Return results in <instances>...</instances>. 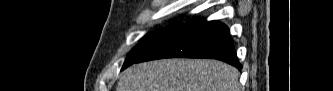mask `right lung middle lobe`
<instances>
[{"mask_svg":"<svg viewBox=\"0 0 333 91\" xmlns=\"http://www.w3.org/2000/svg\"><path fill=\"white\" fill-rule=\"evenodd\" d=\"M183 25L184 23L177 22L165 29L151 32L145 35L142 40L130 52L128 58L126 59L122 67V70L135 63L138 59L143 57L150 50L158 46L160 43L170 37L173 33L179 30Z\"/></svg>","mask_w":333,"mask_h":91,"instance_id":"1","label":"right lung middle lobe"}]
</instances>
